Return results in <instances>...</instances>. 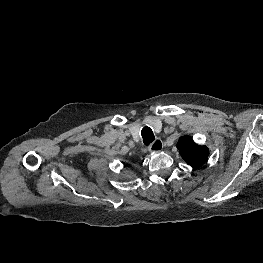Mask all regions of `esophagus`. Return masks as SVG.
<instances>
[{
	"instance_id": "esophagus-1",
	"label": "esophagus",
	"mask_w": 263,
	"mask_h": 263,
	"mask_svg": "<svg viewBox=\"0 0 263 263\" xmlns=\"http://www.w3.org/2000/svg\"><path fill=\"white\" fill-rule=\"evenodd\" d=\"M163 141L160 138H157L151 145L149 146V152H157L163 149Z\"/></svg>"
}]
</instances>
